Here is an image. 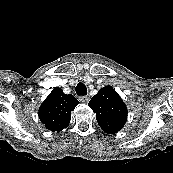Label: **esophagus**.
Here are the masks:
<instances>
[{
    "label": "esophagus",
    "mask_w": 173,
    "mask_h": 173,
    "mask_svg": "<svg viewBox=\"0 0 173 173\" xmlns=\"http://www.w3.org/2000/svg\"><path fill=\"white\" fill-rule=\"evenodd\" d=\"M79 100H80L81 102L88 103L89 100H90V98H89L88 96H81V97L79 98Z\"/></svg>",
    "instance_id": "34e87169"
}]
</instances>
